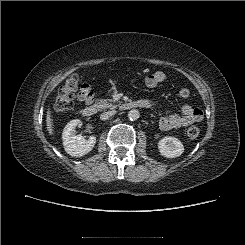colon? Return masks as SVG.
Segmentation results:
<instances>
[{
	"label": "colon",
	"instance_id": "5ec220e1",
	"mask_svg": "<svg viewBox=\"0 0 245 245\" xmlns=\"http://www.w3.org/2000/svg\"><path fill=\"white\" fill-rule=\"evenodd\" d=\"M83 87L84 84H80L78 76H71L60 88L54 103V109L61 113L71 110L76 96L79 95ZM179 95L182 98H187L190 95V91L187 88H181ZM199 133L200 131L197 127H191L187 130V136L190 139L197 138Z\"/></svg>",
	"mask_w": 245,
	"mask_h": 245
}]
</instances>
